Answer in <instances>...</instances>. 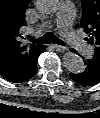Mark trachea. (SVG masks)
<instances>
[{"label":"trachea","instance_id":"1","mask_svg":"<svg viewBox=\"0 0 100 118\" xmlns=\"http://www.w3.org/2000/svg\"><path fill=\"white\" fill-rule=\"evenodd\" d=\"M33 43H35V44H47V43H53V44H58V45H62V46H64L65 45V43L62 41V40H60V39H58V38H56V37H54L52 34H47V35H44V36H42V37H40L39 39H37V40H31Z\"/></svg>","mask_w":100,"mask_h":118}]
</instances>
